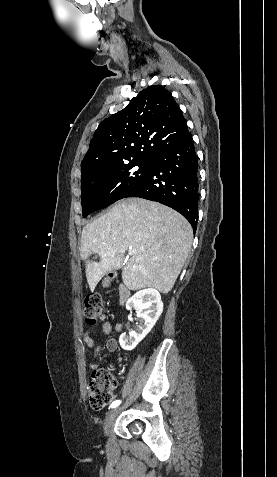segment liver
Returning <instances> with one entry per match:
<instances>
[{
  "label": "liver",
  "instance_id": "1",
  "mask_svg": "<svg viewBox=\"0 0 277 477\" xmlns=\"http://www.w3.org/2000/svg\"><path fill=\"white\" fill-rule=\"evenodd\" d=\"M192 240L191 225L172 208L142 198L121 200L82 230L81 258L89 287L93 291L107 272L121 268L131 248L122 271L124 285L133 291L152 287L167 294ZM93 254L99 255V262L89 260Z\"/></svg>",
  "mask_w": 277,
  "mask_h": 477
}]
</instances>
